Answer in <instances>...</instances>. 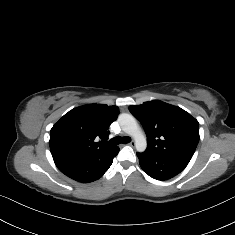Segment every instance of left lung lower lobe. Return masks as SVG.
<instances>
[{
  "instance_id": "1",
  "label": "left lung lower lobe",
  "mask_w": 235,
  "mask_h": 235,
  "mask_svg": "<svg viewBox=\"0 0 235 235\" xmlns=\"http://www.w3.org/2000/svg\"><path fill=\"white\" fill-rule=\"evenodd\" d=\"M141 168L152 178L157 180L170 179L182 172L188 165L180 159L155 155L150 152L137 153Z\"/></svg>"
}]
</instances>
